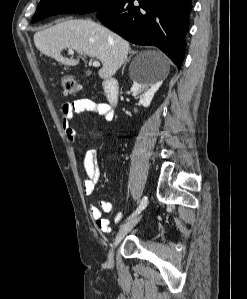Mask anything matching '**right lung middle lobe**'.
<instances>
[{
  "mask_svg": "<svg viewBox=\"0 0 247 299\" xmlns=\"http://www.w3.org/2000/svg\"><path fill=\"white\" fill-rule=\"evenodd\" d=\"M118 1L119 0H41L32 18V23L56 14H86L95 12Z\"/></svg>",
  "mask_w": 247,
  "mask_h": 299,
  "instance_id": "1",
  "label": "right lung middle lobe"
}]
</instances>
